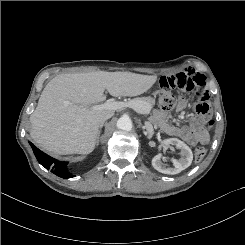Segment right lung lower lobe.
<instances>
[{"label": "right lung lower lobe", "mask_w": 245, "mask_h": 245, "mask_svg": "<svg viewBox=\"0 0 245 245\" xmlns=\"http://www.w3.org/2000/svg\"><path fill=\"white\" fill-rule=\"evenodd\" d=\"M33 152L38 160V162L44 166L46 169H50L51 172L61 178H72L74 177L67 169V163L63 161H58L49 155L43 153L34 144L29 142Z\"/></svg>", "instance_id": "98d812e1"}]
</instances>
